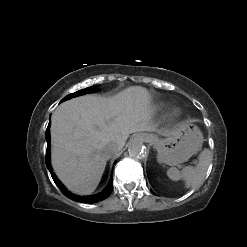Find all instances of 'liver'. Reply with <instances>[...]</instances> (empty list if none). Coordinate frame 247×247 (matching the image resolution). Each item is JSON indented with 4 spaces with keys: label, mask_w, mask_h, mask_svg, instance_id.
<instances>
[{
    "label": "liver",
    "mask_w": 247,
    "mask_h": 247,
    "mask_svg": "<svg viewBox=\"0 0 247 247\" xmlns=\"http://www.w3.org/2000/svg\"><path fill=\"white\" fill-rule=\"evenodd\" d=\"M152 112L151 95L141 86L108 98L83 95L59 105L50 128L51 163L58 178L76 194L94 192L112 156L105 146L113 142L122 149L131 133L157 131Z\"/></svg>",
    "instance_id": "1"
}]
</instances>
